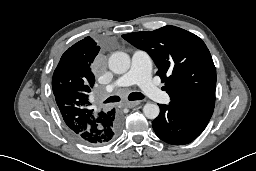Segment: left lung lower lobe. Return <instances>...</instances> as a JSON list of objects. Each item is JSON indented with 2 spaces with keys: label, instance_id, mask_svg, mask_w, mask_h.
<instances>
[{
  "label": "left lung lower lobe",
  "instance_id": "0a47b994",
  "mask_svg": "<svg viewBox=\"0 0 256 171\" xmlns=\"http://www.w3.org/2000/svg\"><path fill=\"white\" fill-rule=\"evenodd\" d=\"M160 114L152 122L156 135L173 145H184L197 138L210 118L193 109L170 102L159 105Z\"/></svg>",
  "mask_w": 256,
  "mask_h": 171
}]
</instances>
